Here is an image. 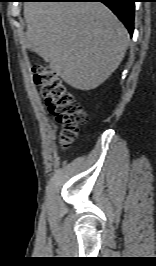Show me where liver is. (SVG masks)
Instances as JSON below:
<instances>
[{"mask_svg":"<svg viewBox=\"0 0 156 266\" xmlns=\"http://www.w3.org/2000/svg\"><path fill=\"white\" fill-rule=\"evenodd\" d=\"M24 19L25 47L79 90L95 89L108 79L129 44L127 29L99 2H29Z\"/></svg>","mask_w":156,"mask_h":266,"instance_id":"obj_1","label":"liver"}]
</instances>
